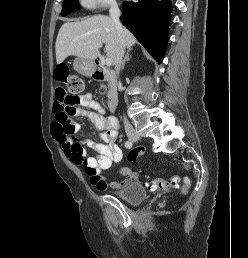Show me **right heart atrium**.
<instances>
[{
  "label": "right heart atrium",
  "instance_id": "right-heart-atrium-1",
  "mask_svg": "<svg viewBox=\"0 0 248 258\" xmlns=\"http://www.w3.org/2000/svg\"><path fill=\"white\" fill-rule=\"evenodd\" d=\"M80 4L86 9H97L112 7L115 5V0H79Z\"/></svg>",
  "mask_w": 248,
  "mask_h": 258
}]
</instances>
